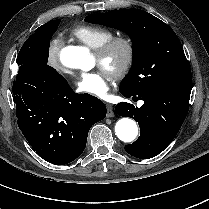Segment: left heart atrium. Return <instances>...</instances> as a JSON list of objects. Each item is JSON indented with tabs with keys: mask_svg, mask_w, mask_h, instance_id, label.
I'll return each mask as SVG.
<instances>
[{
	"mask_svg": "<svg viewBox=\"0 0 209 209\" xmlns=\"http://www.w3.org/2000/svg\"><path fill=\"white\" fill-rule=\"evenodd\" d=\"M111 81L101 70L83 72L76 81V87L79 92L88 94L97 98H105L109 90Z\"/></svg>",
	"mask_w": 209,
	"mask_h": 209,
	"instance_id": "1",
	"label": "left heart atrium"
}]
</instances>
